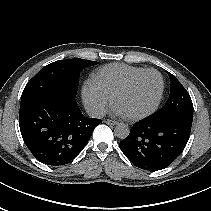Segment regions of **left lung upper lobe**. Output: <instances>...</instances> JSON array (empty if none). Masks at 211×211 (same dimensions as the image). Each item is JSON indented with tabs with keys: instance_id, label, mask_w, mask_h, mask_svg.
Masks as SVG:
<instances>
[{
	"instance_id": "obj_1",
	"label": "left lung upper lobe",
	"mask_w": 211,
	"mask_h": 211,
	"mask_svg": "<svg viewBox=\"0 0 211 211\" xmlns=\"http://www.w3.org/2000/svg\"><path fill=\"white\" fill-rule=\"evenodd\" d=\"M167 73L170 77V96L164 107L150 119H180L192 123L193 104L191 97L177 78L168 71Z\"/></svg>"
}]
</instances>
